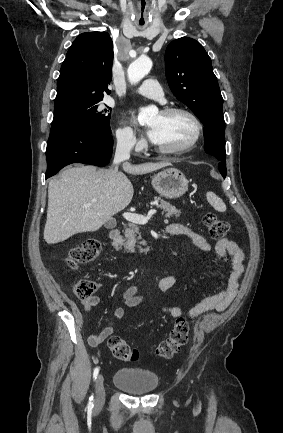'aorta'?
<instances>
[{
    "label": "aorta",
    "mask_w": 283,
    "mask_h": 433,
    "mask_svg": "<svg viewBox=\"0 0 283 433\" xmlns=\"http://www.w3.org/2000/svg\"><path fill=\"white\" fill-rule=\"evenodd\" d=\"M152 61L148 57H142L130 64L127 75L131 84L140 82L151 70ZM157 113V109L153 106L140 108L138 114V122L140 125L148 124L152 117Z\"/></svg>",
    "instance_id": "1"
}]
</instances>
